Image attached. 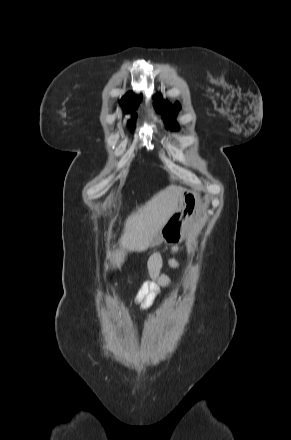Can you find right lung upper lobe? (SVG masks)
Wrapping results in <instances>:
<instances>
[{
	"label": "right lung upper lobe",
	"mask_w": 291,
	"mask_h": 440,
	"mask_svg": "<svg viewBox=\"0 0 291 440\" xmlns=\"http://www.w3.org/2000/svg\"><path fill=\"white\" fill-rule=\"evenodd\" d=\"M141 101V96L136 97L133 92H128L121 100L120 104L127 110L136 109Z\"/></svg>",
	"instance_id": "right-lung-upper-lobe-1"
}]
</instances>
